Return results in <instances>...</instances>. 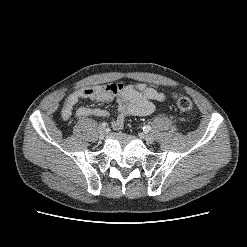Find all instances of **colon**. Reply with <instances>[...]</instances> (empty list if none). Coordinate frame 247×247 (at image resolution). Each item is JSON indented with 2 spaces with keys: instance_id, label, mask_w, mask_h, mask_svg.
Segmentation results:
<instances>
[{
  "instance_id": "colon-1",
  "label": "colon",
  "mask_w": 247,
  "mask_h": 247,
  "mask_svg": "<svg viewBox=\"0 0 247 247\" xmlns=\"http://www.w3.org/2000/svg\"><path fill=\"white\" fill-rule=\"evenodd\" d=\"M172 97L176 103V106L181 112L186 114H191L193 112L194 106L188 97L178 94H173Z\"/></svg>"
}]
</instances>
